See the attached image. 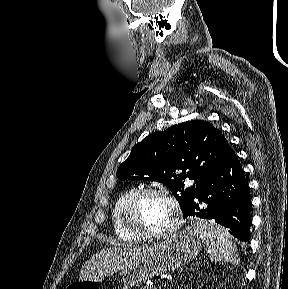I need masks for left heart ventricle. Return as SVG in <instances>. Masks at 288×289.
I'll use <instances>...</instances> for the list:
<instances>
[{
  "mask_svg": "<svg viewBox=\"0 0 288 289\" xmlns=\"http://www.w3.org/2000/svg\"><path fill=\"white\" fill-rule=\"evenodd\" d=\"M131 216L137 228L155 233L171 224L173 212L169 203L162 198L146 196L137 202Z\"/></svg>",
  "mask_w": 288,
  "mask_h": 289,
  "instance_id": "1",
  "label": "left heart ventricle"
}]
</instances>
